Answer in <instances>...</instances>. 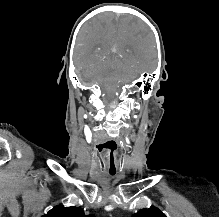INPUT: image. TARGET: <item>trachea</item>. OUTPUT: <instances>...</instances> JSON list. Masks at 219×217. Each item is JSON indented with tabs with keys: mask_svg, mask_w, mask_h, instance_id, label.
Returning a JSON list of instances; mask_svg holds the SVG:
<instances>
[{
	"mask_svg": "<svg viewBox=\"0 0 219 217\" xmlns=\"http://www.w3.org/2000/svg\"><path fill=\"white\" fill-rule=\"evenodd\" d=\"M110 174H111V175H114V174H115V172H111Z\"/></svg>",
	"mask_w": 219,
	"mask_h": 217,
	"instance_id": "1",
	"label": "trachea"
}]
</instances>
